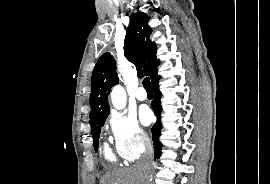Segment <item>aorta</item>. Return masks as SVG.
<instances>
[{"instance_id":"762f6f07","label":"aorta","mask_w":270,"mask_h":184,"mask_svg":"<svg viewBox=\"0 0 270 184\" xmlns=\"http://www.w3.org/2000/svg\"><path fill=\"white\" fill-rule=\"evenodd\" d=\"M111 101L113 106L121 110L126 105V92L123 87L115 86L111 92Z\"/></svg>"}]
</instances>
